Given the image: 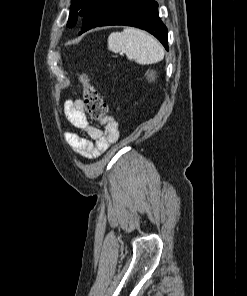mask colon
Instances as JSON below:
<instances>
[{
	"mask_svg": "<svg viewBox=\"0 0 247 296\" xmlns=\"http://www.w3.org/2000/svg\"><path fill=\"white\" fill-rule=\"evenodd\" d=\"M78 81L83 88L84 105L87 112L95 119H103L107 116V105L100 98L97 90L89 83L85 73L78 75Z\"/></svg>",
	"mask_w": 247,
	"mask_h": 296,
	"instance_id": "colon-1",
	"label": "colon"
}]
</instances>
